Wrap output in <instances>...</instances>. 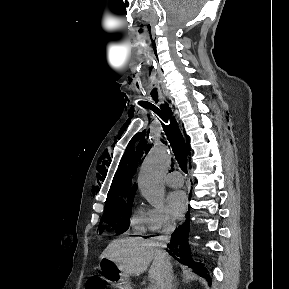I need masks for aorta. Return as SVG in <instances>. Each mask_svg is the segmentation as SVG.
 I'll use <instances>...</instances> for the list:
<instances>
[{
  "instance_id": "obj_1",
  "label": "aorta",
  "mask_w": 289,
  "mask_h": 289,
  "mask_svg": "<svg viewBox=\"0 0 289 289\" xmlns=\"http://www.w3.org/2000/svg\"><path fill=\"white\" fill-rule=\"evenodd\" d=\"M170 159L168 147L161 142H156L141 165L138 188L143 197L154 207L164 204L163 176L168 170Z\"/></svg>"
}]
</instances>
